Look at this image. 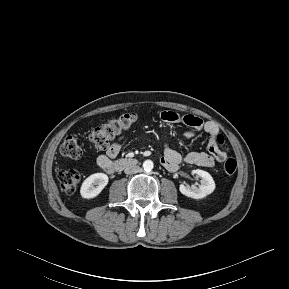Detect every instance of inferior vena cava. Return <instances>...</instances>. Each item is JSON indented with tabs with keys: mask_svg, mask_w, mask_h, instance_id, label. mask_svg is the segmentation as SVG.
Instances as JSON below:
<instances>
[{
	"mask_svg": "<svg viewBox=\"0 0 289 289\" xmlns=\"http://www.w3.org/2000/svg\"><path fill=\"white\" fill-rule=\"evenodd\" d=\"M141 171V168L137 165H132V166H129L127 168H125L124 172L125 174H135V173H138Z\"/></svg>",
	"mask_w": 289,
	"mask_h": 289,
	"instance_id": "obj_1",
	"label": "inferior vena cava"
}]
</instances>
